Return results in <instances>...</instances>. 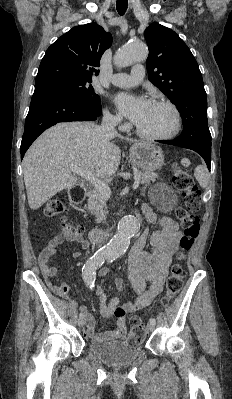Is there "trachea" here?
<instances>
[{"label":"trachea","mask_w":232,"mask_h":399,"mask_svg":"<svg viewBox=\"0 0 232 399\" xmlns=\"http://www.w3.org/2000/svg\"><path fill=\"white\" fill-rule=\"evenodd\" d=\"M117 11L120 15H124L127 10L128 0H117Z\"/></svg>","instance_id":"trachea-1"}]
</instances>
